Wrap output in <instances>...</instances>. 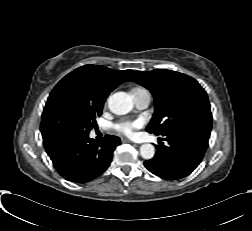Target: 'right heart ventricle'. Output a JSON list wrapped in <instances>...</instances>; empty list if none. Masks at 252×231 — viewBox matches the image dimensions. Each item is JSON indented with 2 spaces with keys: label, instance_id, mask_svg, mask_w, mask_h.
Here are the masks:
<instances>
[{
  "label": "right heart ventricle",
  "instance_id": "e07e8e85",
  "mask_svg": "<svg viewBox=\"0 0 252 231\" xmlns=\"http://www.w3.org/2000/svg\"><path fill=\"white\" fill-rule=\"evenodd\" d=\"M143 90H145V89L140 88V87H137V88H134V89H133V93H134V92H137V91H143Z\"/></svg>",
  "mask_w": 252,
  "mask_h": 231
}]
</instances>
